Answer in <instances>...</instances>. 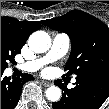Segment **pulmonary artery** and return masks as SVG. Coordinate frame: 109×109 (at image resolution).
Returning a JSON list of instances; mask_svg holds the SVG:
<instances>
[{"label":"pulmonary artery","mask_w":109,"mask_h":109,"mask_svg":"<svg viewBox=\"0 0 109 109\" xmlns=\"http://www.w3.org/2000/svg\"><path fill=\"white\" fill-rule=\"evenodd\" d=\"M69 48L70 37L65 33H58L53 37L52 45L44 56L17 65L16 68L25 72L38 71L44 65L63 57L68 52ZM75 81L76 80L73 79L72 85H74Z\"/></svg>","instance_id":"e3ab8cb5"}]
</instances>
